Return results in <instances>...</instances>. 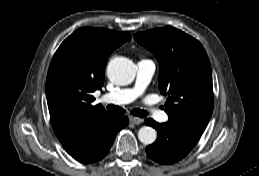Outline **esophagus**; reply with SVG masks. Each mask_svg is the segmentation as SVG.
<instances>
[{
    "label": "esophagus",
    "instance_id": "34e87169",
    "mask_svg": "<svg viewBox=\"0 0 259 176\" xmlns=\"http://www.w3.org/2000/svg\"><path fill=\"white\" fill-rule=\"evenodd\" d=\"M142 119L139 117H130V122L135 125H139L142 123Z\"/></svg>",
    "mask_w": 259,
    "mask_h": 176
}]
</instances>
